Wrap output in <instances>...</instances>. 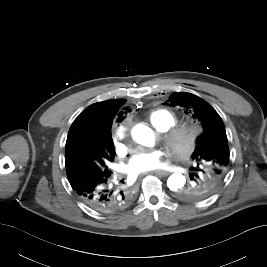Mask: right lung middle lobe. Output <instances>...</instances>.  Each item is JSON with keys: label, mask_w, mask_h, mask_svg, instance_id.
<instances>
[{"label": "right lung middle lobe", "mask_w": 267, "mask_h": 267, "mask_svg": "<svg viewBox=\"0 0 267 267\" xmlns=\"http://www.w3.org/2000/svg\"><path fill=\"white\" fill-rule=\"evenodd\" d=\"M115 149L111 134L99 140L92 133L76 131L68 137L65 147V164L68 180L82 175L112 173L110 163L114 161Z\"/></svg>", "instance_id": "dd1d6c3e"}]
</instances>
